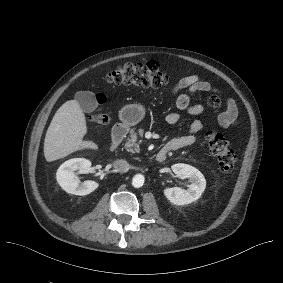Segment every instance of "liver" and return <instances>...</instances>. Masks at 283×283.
Masks as SVG:
<instances>
[{
  "label": "liver",
  "instance_id": "liver-1",
  "mask_svg": "<svg viewBox=\"0 0 283 283\" xmlns=\"http://www.w3.org/2000/svg\"><path fill=\"white\" fill-rule=\"evenodd\" d=\"M88 133L85 112L77 99L65 102L56 112L46 133L44 157L48 163L85 150L99 151L92 139H83Z\"/></svg>",
  "mask_w": 283,
  "mask_h": 283
}]
</instances>
